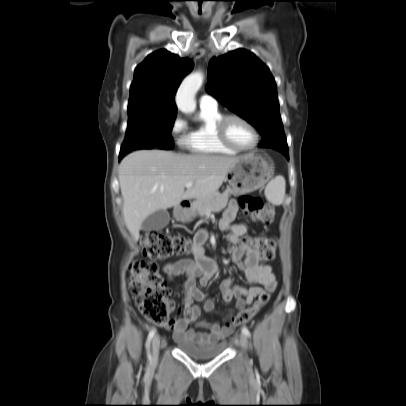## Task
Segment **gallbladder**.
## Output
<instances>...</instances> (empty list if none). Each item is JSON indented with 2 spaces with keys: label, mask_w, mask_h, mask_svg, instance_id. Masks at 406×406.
Segmentation results:
<instances>
[{
  "label": "gallbladder",
  "mask_w": 406,
  "mask_h": 406,
  "mask_svg": "<svg viewBox=\"0 0 406 406\" xmlns=\"http://www.w3.org/2000/svg\"><path fill=\"white\" fill-rule=\"evenodd\" d=\"M169 221V212L167 210H158L143 221L141 229L143 231L160 230L166 227Z\"/></svg>",
  "instance_id": "obj_1"
}]
</instances>
